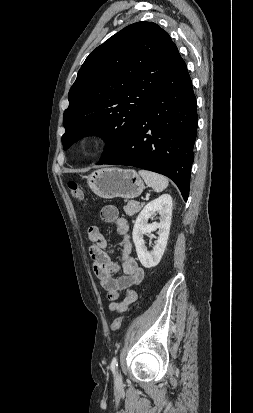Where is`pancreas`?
<instances>
[{"label": "pancreas", "mask_w": 253, "mask_h": 413, "mask_svg": "<svg viewBox=\"0 0 253 413\" xmlns=\"http://www.w3.org/2000/svg\"><path fill=\"white\" fill-rule=\"evenodd\" d=\"M143 205V203L140 204L137 201H128L127 205L124 206V211L128 216H133L141 210Z\"/></svg>", "instance_id": "cf45deb5"}]
</instances>
